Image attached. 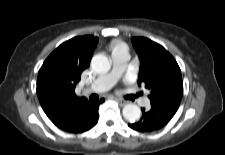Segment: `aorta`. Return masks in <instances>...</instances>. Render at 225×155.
<instances>
[{"mask_svg":"<svg viewBox=\"0 0 225 155\" xmlns=\"http://www.w3.org/2000/svg\"><path fill=\"white\" fill-rule=\"evenodd\" d=\"M92 69L98 74L107 73L111 68L110 59L103 55L97 54L91 60ZM123 116L130 122H135L141 117V109L135 104H127L122 110Z\"/></svg>","mask_w":225,"mask_h":155,"instance_id":"aorta-1","label":"aorta"}]
</instances>
